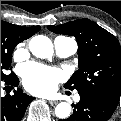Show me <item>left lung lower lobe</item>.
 Listing matches in <instances>:
<instances>
[{
    "label": "left lung lower lobe",
    "mask_w": 121,
    "mask_h": 121,
    "mask_svg": "<svg viewBox=\"0 0 121 121\" xmlns=\"http://www.w3.org/2000/svg\"><path fill=\"white\" fill-rule=\"evenodd\" d=\"M79 95L80 101L73 105V114L59 121H107L117 107L97 94L79 92Z\"/></svg>",
    "instance_id": "obj_1"
}]
</instances>
